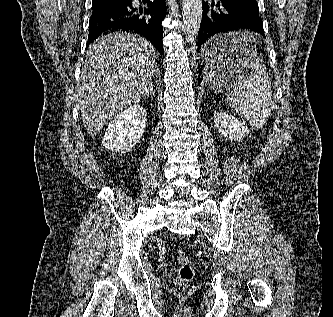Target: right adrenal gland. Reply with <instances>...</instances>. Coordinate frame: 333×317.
Masks as SVG:
<instances>
[{"label": "right adrenal gland", "instance_id": "right-adrenal-gland-1", "mask_svg": "<svg viewBox=\"0 0 333 317\" xmlns=\"http://www.w3.org/2000/svg\"><path fill=\"white\" fill-rule=\"evenodd\" d=\"M148 94H151L152 96H155V93L153 91V87L150 89L149 93Z\"/></svg>", "mask_w": 333, "mask_h": 317}]
</instances>
